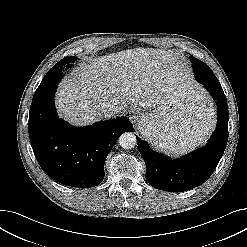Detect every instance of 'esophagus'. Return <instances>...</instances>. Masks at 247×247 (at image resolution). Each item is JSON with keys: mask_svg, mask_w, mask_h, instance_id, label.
Here are the masks:
<instances>
[{"mask_svg": "<svg viewBox=\"0 0 247 247\" xmlns=\"http://www.w3.org/2000/svg\"><path fill=\"white\" fill-rule=\"evenodd\" d=\"M139 115L140 113L137 108H131L129 110V116L133 122H136L139 119Z\"/></svg>", "mask_w": 247, "mask_h": 247, "instance_id": "1", "label": "esophagus"}]
</instances>
